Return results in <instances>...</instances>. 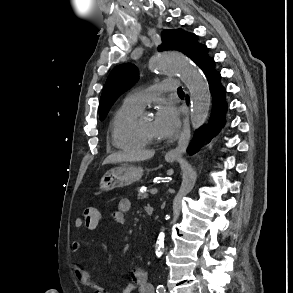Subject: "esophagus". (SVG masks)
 Wrapping results in <instances>:
<instances>
[{
	"label": "esophagus",
	"instance_id": "1",
	"mask_svg": "<svg viewBox=\"0 0 293 293\" xmlns=\"http://www.w3.org/2000/svg\"><path fill=\"white\" fill-rule=\"evenodd\" d=\"M189 133V118L186 117L184 121L183 133L178 141V145L176 148L168 151V156H180L182 155L187 148V134Z\"/></svg>",
	"mask_w": 293,
	"mask_h": 293
}]
</instances>
